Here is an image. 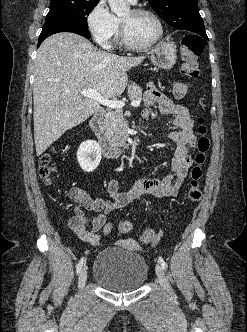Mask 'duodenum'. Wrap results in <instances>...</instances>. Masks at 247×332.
Instances as JSON below:
<instances>
[{"label":"duodenum","mask_w":247,"mask_h":332,"mask_svg":"<svg viewBox=\"0 0 247 332\" xmlns=\"http://www.w3.org/2000/svg\"><path fill=\"white\" fill-rule=\"evenodd\" d=\"M90 128L98 139L103 154L107 158H117L125 153V149L112 143L104 127V111L98 110L90 121Z\"/></svg>","instance_id":"410a0bca"}]
</instances>
